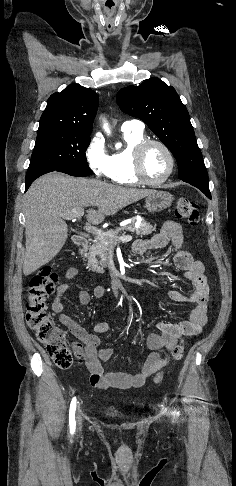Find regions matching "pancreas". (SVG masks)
<instances>
[{
  "label": "pancreas",
  "mask_w": 236,
  "mask_h": 486,
  "mask_svg": "<svg viewBox=\"0 0 236 486\" xmlns=\"http://www.w3.org/2000/svg\"><path fill=\"white\" fill-rule=\"evenodd\" d=\"M124 230L133 232L137 236L142 237L151 234L156 230V227L150 225L144 220H141L139 227L136 228L135 220H133L128 226L117 227L114 230L107 231L102 237H96L89 247L88 253L86 254L88 259L87 268L89 270L99 273L104 272L103 269L107 267L109 248L116 245V240L114 237Z\"/></svg>",
  "instance_id": "cf45deb5"
}]
</instances>
